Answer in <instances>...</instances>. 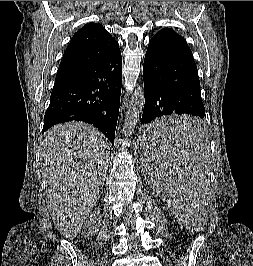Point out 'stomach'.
<instances>
[{"instance_id":"1","label":"stomach","mask_w":253,"mask_h":266,"mask_svg":"<svg viewBox=\"0 0 253 266\" xmlns=\"http://www.w3.org/2000/svg\"><path fill=\"white\" fill-rule=\"evenodd\" d=\"M140 138H146L144 135H141L140 137H139V141H140Z\"/></svg>"}]
</instances>
